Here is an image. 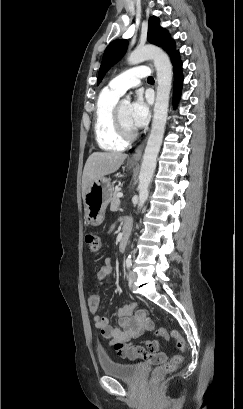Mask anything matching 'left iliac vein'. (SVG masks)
I'll return each mask as SVG.
<instances>
[{
	"mask_svg": "<svg viewBox=\"0 0 243 409\" xmlns=\"http://www.w3.org/2000/svg\"><path fill=\"white\" fill-rule=\"evenodd\" d=\"M137 275L135 272L130 271L128 275V281L130 284H133L136 281Z\"/></svg>",
	"mask_w": 243,
	"mask_h": 409,
	"instance_id": "1",
	"label": "left iliac vein"
}]
</instances>
